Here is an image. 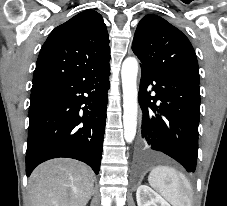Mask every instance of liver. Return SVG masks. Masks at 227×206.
Returning <instances> with one entry per match:
<instances>
[{"label": "liver", "instance_id": "1", "mask_svg": "<svg viewBox=\"0 0 227 206\" xmlns=\"http://www.w3.org/2000/svg\"><path fill=\"white\" fill-rule=\"evenodd\" d=\"M94 186L92 170L76 160L40 164L29 179L31 206H86Z\"/></svg>", "mask_w": 227, "mask_h": 206}]
</instances>
